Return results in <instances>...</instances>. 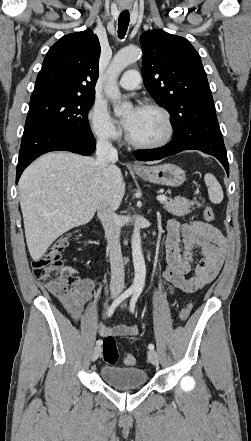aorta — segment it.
Returning a JSON list of instances; mask_svg holds the SVG:
<instances>
[{"mask_svg": "<svg viewBox=\"0 0 251 441\" xmlns=\"http://www.w3.org/2000/svg\"><path fill=\"white\" fill-rule=\"evenodd\" d=\"M141 54L140 49L135 47L122 49L114 56L107 69V82L104 91L106 96L115 103L114 113L117 116L125 115L132 108L131 103L121 102V93L117 85L118 76L128 65L136 62L141 57ZM131 248L135 272L132 287L137 290H142L145 285L146 266L141 247L140 226L138 223L133 230Z\"/></svg>", "mask_w": 251, "mask_h": 441, "instance_id": "aorta-1", "label": "aorta"}]
</instances>
